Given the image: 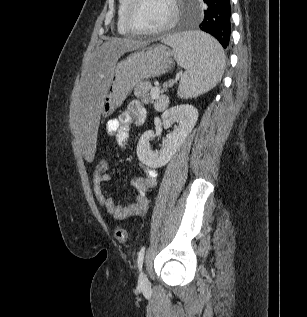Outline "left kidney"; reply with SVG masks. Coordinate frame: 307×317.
I'll list each match as a JSON object with an SVG mask.
<instances>
[{
	"mask_svg": "<svg viewBox=\"0 0 307 317\" xmlns=\"http://www.w3.org/2000/svg\"><path fill=\"white\" fill-rule=\"evenodd\" d=\"M161 117L165 128L176 123L174 130L163 139L161 149L151 150L150 140L154 136L152 130L142 134L136 149L139 161L151 168L162 167L170 161L194 128L198 119V111L192 105L182 104L165 110Z\"/></svg>",
	"mask_w": 307,
	"mask_h": 317,
	"instance_id": "obj_1",
	"label": "left kidney"
}]
</instances>
